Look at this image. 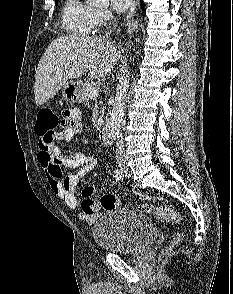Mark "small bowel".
<instances>
[{"instance_id":"c3829d8e","label":"small bowel","mask_w":233,"mask_h":294,"mask_svg":"<svg viewBox=\"0 0 233 294\" xmlns=\"http://www.w3.org/2000/svg\"><path fill=\"white\" fill-rule=\"evenodd\" d=\"M64 119L60 121V126L65 129L57 136L61 142H69L72 138L82 131L81 114L77 109H69L64 112ZM46 154H50L49 158ZM39 163L48 179L53 192L72 210L78 208L76 198V187L80 177L88 174L96 166L97 160L93 156H88L83 152H76L69 156L60 153L58 147L52 146L51 149H42L38 156ZM75 169L74 174L62 177L61 167ZM96 186H87L82 191L83 201L82 211L79 217L93 222L100 211V204L93 196L96 193Z\"/></svg>"}]
</instances>
